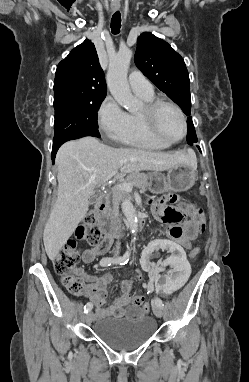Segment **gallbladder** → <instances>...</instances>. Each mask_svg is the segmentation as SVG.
<instances>
[{
    "mask_svg": "<svg viewBox=\"0 0 249 382\" xmlns=\"http://www.w3.org/2000/svg\"><path fill=\"white\" fill-rule=\"evenodd\" d=\"M95 202H96V198L95 197L90 198V201H89L90 204H94Z\"/></svg>",
    "mask_w": 249,
    "mask_h": 382,
    "instance_id": "obj_1",
    "label": "gallbladder"
}]
</instances>
